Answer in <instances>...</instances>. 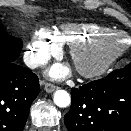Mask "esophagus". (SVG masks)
Wrapping results in <instances>:
<instances>
[{
	"label": "esophagus",
	"mask_w": 131,
	"mask_h": 131,
	"mask_svg": "<svg viewBox=\"0 0 131 131\" xmlns=\"http://www.w3.org/2000/svg\"><path fill=\"white\" fill-rule=\"evenodd\" d=\"M44 89L47 93H51L56 90V86L51 83H46Z\"/></svg>",
	"instance_id": "1"
}]
</instances>
